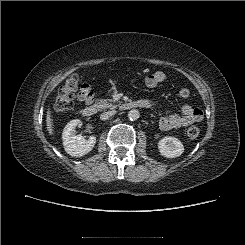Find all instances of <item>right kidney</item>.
<instances>
[{
  "mask_svg": "<svg viewBox=\"0 0 245 245\" xmlns=\"http://www.w3.org/2000/svg\"><path fill=\"white\" fill-rule=\"evenodd\" d=\"M81 121L79 119L71 120L64 128L62 133L63 145L65 151L73 157H81L89 153L95 146L96 137L90 136L85 140L81 135H76L75 128Z\"/></svg>",
  "mask_w": 245,
  "mask_h": 245,
  "instance_id": "right-kidney-1",
  "label": "right kidney"
}]
</instances>
